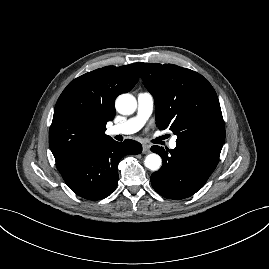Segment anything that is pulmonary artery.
<instances>
[{"label":"pulmonary artery","instance_id":"pulmonary-artery-1","mask_svg":"<svg viewBox=\"0 0 269 269\" xmlns=\"http://www.w3.org/2000/svg\"><path fill=\"white\" fill-rule=\"evenodd\" d=\"M154 108V97L149 92H141L137 95V113L134 117L128 120L114 125L108 129L110 135H129L140 130ZM176 137H173L169 141V147L171 149L176 148Z\"/></svg>","mask_w":269,"mask_h":269}]
</instances>
